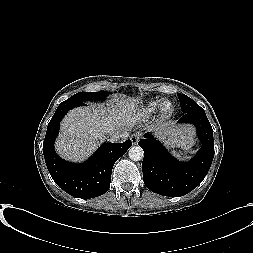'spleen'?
Listing matches in <instances>:
<instances>
[{"label": "spleen", "mask_w": 253, "mask_h": 253, "mask_svg": "<svg viewBox=\"0 0 253 253\" xmlns=\"http://www.w3.org/2000/svg\"><path fill=\"white\" fill-rule=\"evenodd\" d=\"M186 153H187L186 151H179V152L173 151V154L179 159L181 158L186 159L187 158ZM183 154L184 156H182Z\"/></svg>", "instance_id": "3e777b00"}]
</instances>
